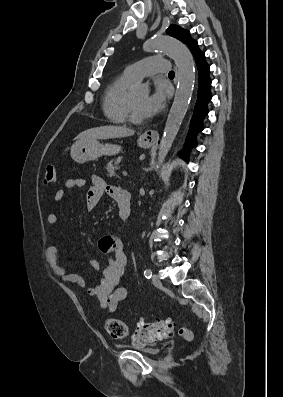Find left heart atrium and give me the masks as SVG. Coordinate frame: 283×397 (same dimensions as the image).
<instances>
[{
	"label": "left heart atrium",
	"instance_id": "obj_1",
	"mask_svg": "<svg viewBox=\"0 0 283 397\" xmlns=\"http://www.w3.org/2000/svg\"><path fill=\"white\" fill-rule=\"evenodd\" d=\"M165 103V95L161 89H156L151 95L147 96L142 104V113L145 117L159 113Z\"/></svg>",
	"mask_w": 283,
	"mask_h": 397
}]
</instances>
